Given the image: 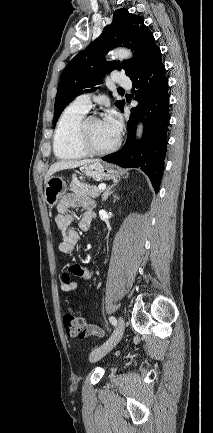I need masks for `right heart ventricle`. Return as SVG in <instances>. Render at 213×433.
Masks as SVG:
<instances>
[{
    "mask_svg": "<svg viewBox=\"0 0 213 433\" xmlns=\"http://www.w3.org/2000/svg\"><path fill=\"white\" fill-rule=\"evenodd\" d=\"M86 112L72 103L62 113L53 139L54 154L59 159H80L87 155L78 146L76 138L77 127Z\"/></svg>",
    "mask_w": 213,
    "mask_h": 433,
    "instance_id": "right-heart-ventricle-1",
    "label": "right heart ventricle"
}]
</instances>
